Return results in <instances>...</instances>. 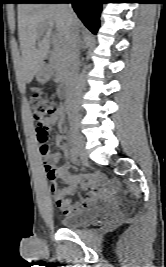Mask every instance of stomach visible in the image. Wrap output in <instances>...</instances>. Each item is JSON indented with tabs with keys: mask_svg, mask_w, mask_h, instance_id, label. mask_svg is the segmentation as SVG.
I'll return each mask as SVG.
<instances>
[{
	"mask_svg": "<svg viewBox=\"0 0 166 267\" xmlns=\"http://www.w3.org/2000/svg\"><path fill=\"white\" fill-rule=\"evenodd\" d=\"M51 77V69L47 65H42L36 73V80L39 83L47 82Z\"/></svg>",
	"mask_w": 166,
	"mask_h": 267,
	"instance_id": "stomach-1",
	"label": "stomach"
}]
</instances>
